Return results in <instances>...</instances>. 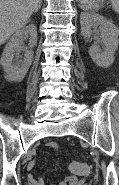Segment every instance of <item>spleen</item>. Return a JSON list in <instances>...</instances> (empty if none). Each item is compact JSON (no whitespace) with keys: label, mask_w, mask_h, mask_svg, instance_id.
Returning <instances> with one entry per match:
<instances>
[{"label":"spleen","mask_w":119,"mask_h":185,"mask_svg":"<svg viewBox=\"0 0 119 185\" xmlns=\"http://www.w3.org/2000/svg\"><path fill=\"white\" fill-rule=\"evenodd\" d=\"M100 1L101 0H78L79 6L81 7V9L85 11L97 10L100 7L99 6ZM110 1L112 3V8L114 9V11L119 13V0H110Z\"/></svg>","instance_id":"1"}]
</instances>
